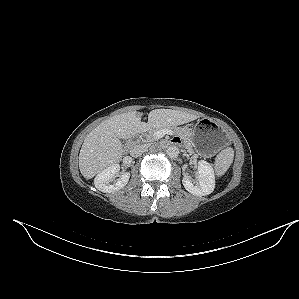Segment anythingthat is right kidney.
<instances>
[{
  "label": "right kidney",
  "instance_id": "1",
  "mask_svg": "<svg viewBox=\"0 0 299 299\" xmlns=\"http://www.w3.org/2000/svg\"><path fill=\"white\" fill-rule=\"evenodd\" d=\"M119 170V164H114L102 170L94 179L95 187L104 193H112L122 189L129 181V172L121 174L116 183L110 184V182H112L113 179L119 174Z\"/></svg>",
  "mask_w": 299,
  "mask_h": 299
}]
</instances>
